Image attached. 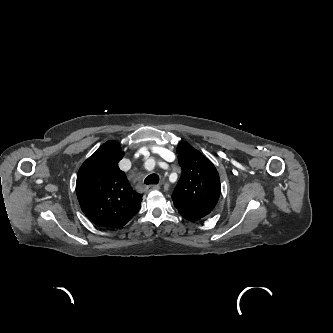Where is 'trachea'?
<instances>
[{"label":"trachea","instance_id":"trachea-1","mask_svg":"<svg viewBox=\"0 0 333 333\" xmlns=\"http://www.w3.org/2000/svg\"><path fill=\"white\" fill-rule=\"evenodd\" d=\"M145 184L150 185V184H158L159 183V177L157 174H150L145 178Z\"/></svg>","mask_w":333,"mask_h":333}]
</instances>
